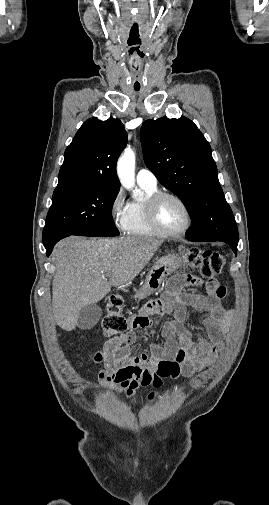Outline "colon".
Instances as JSON below:
<instances>
[{"mask_svg": "<svg viewBox=\"0 0 269 505\" xmlns=\"http://www.w3.org/2000/svg\"><path fill=\"white\" fill-rule=\"evenodd\" d=\"M189 264L197 268L204 281H220L225 257L218 251H200L197 248L187 250ZM164 298H169L165 296ZM124 300L121 295L113 294L108 297L105 305V315L102 320V330L108 337L117 338L124 335L129 328L127 319L123 314ZM162 376L155 373L152 384L158 387L162 383Z\"/></svg>", "mask_w": 269, "mask_h": 505, "instance_id": "5ec220e1", "label": "colon"}]
</instances>
